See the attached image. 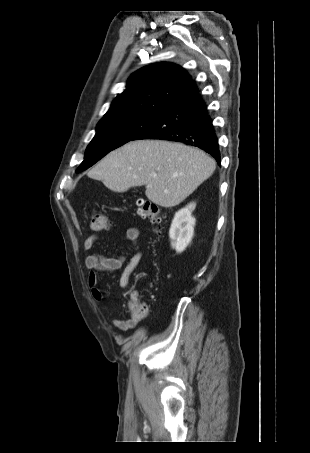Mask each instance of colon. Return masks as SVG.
I'll return each instance as SVG.
<instances>
[{
  "instance_id": "1",
  "label": "colon",
  "mask_w": 310,
  "mask_h": 453,
  "mask_svg": "<svg viewBox=\"0 0 310 453\" xmlns=\"http://www.w3.org/2000/svg\"><path fill=\"white\" fill-rule=\"evenodd\" d=\"M137 213L153 224H159L161 222V215L159 207L148 200L137 201ZM109 227L108 217L102 212H94L91 216V228L94 231H104ZM128 309L130 315L143 318L147 314V306L143 303L136 293L131 294L128 301Z\"/></svg>"
}]
</instances>
